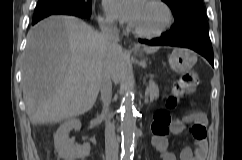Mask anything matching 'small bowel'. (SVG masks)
Here are the masks:
<instances>
[{
  "label": "small bowel",
  "mask_w": 242,
  "mask_h": 160,
  "mask_svg": "<svg viewBox=\"0 0 242 160\" xmlns=\"http://www.w3.org/2000/svg\"><path fill=\"white\" fill-rule=\"evenodd\" d=\"M190 124V133L192 134L195 147H185L180 153V160H205L207 153L206 143V120L201 113H191L183 119H174L170 122L167 132L155 133L152 135V145L160 153L162 160H177L176 156L168 150L167 134H180L184 131L185 125ZM199 125L202 130V136L196 137L193 131L194 127Z\"/></svg>",
  "instance_id": "c3829d8e"
}]
</instances>
